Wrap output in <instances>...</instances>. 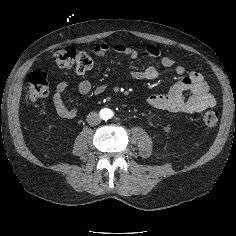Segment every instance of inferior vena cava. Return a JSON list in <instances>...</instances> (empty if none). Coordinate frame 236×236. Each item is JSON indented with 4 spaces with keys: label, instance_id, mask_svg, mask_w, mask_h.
<instances>
[{
    "label": "inferior vena cava",
    "instance_id": "602c4592",
    "mask_svg": "<svg viewBox=\"0 0 236 236\" xmlns=\"http://www.w3.org/2000/svg\"><path fill=\"white\" fill-rule=\"evenodd\" d=\"M86 120H87L88 124L91 126L97 125L101 122V118H100L99 114L96 112H90L87 115Z\"/></svg>",
    "mask_w": 236,
    "mask_h": 236
}]
</instances>
